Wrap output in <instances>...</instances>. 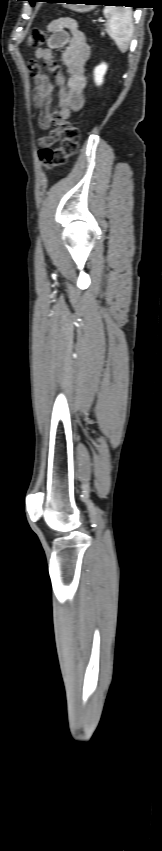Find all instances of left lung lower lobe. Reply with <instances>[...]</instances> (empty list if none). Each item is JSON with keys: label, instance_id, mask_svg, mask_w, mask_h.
Returning <instances> with one entry per match:
<instances>
[{"label": "left lung lower lobe", "instance_id": "left-lung-lower-lobe-1", "mask_svg": "<svg viewBox=\"0 0 162 851\" xmlns=\"http://www.w3.org/2000/svg\"><path fill=\"white\" fill-rule=\"evenodd\" d=\"M37 1H40V0H37ZM42 1L56 2L57 0H42ZM97 1H100V2L104 3L105 5H117V6H120V5L121 6H128L129 4H134L136 2L135 0H97Z\"/></svg>", "mask_w": 162, "mask_h": 851}]
</instances>
